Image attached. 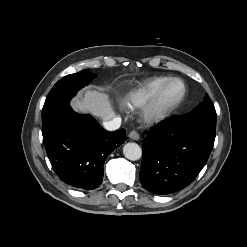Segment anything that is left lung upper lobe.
Wrapping results in <instances>:
<instances>
[{
	"label": "left lung upper lobe",
	"mask_w": 247,
	"mask_h": 247,
	"mask_svg": "<svg viewBox=\"0 0 247 247\" xmlns=\"http://www.w3.org/2000/svg\"><path fill=\"white\" fill-rule=\"evenodd\" d=\"M182 124L191 128L216 130V111L208 95L192 112L183 115Z\"/></svg>",
	"instance_id": "5c2ea615"
}]
</instances>
